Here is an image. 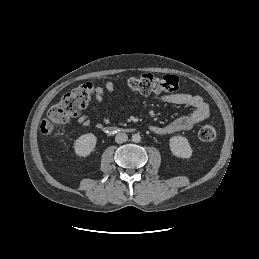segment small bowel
<instances>
[{
  "label": "small bowel",
  "mask_w": 259,
  "mask_h": 259,
  "mask_svg": "<svg viewBox=\"0 0 259 259\" xmlns=\"http://www.w3.org/2000/svg\"><path fill=\"white\" fill-rule=\"evenodd\" d=\"M105 89L108 93L114 94V83L112 81H107L105 83ZM104 96L105 93L103 89L97 88L96 104L93 107L94 111L97 109V106L102 103ZM160 99L166 103L191 107L192 111L189 114L180 116L163 126H150V130L157 135H169L181 131H188L196 124L206 120L210 115L208 104L202 97L198 95L175 93L163 95L160 97ZM77 122L80 125L87 127L90 125L91 120L87 115H80L77 118ZM108 122L109 121L107 119H103L102 121L98 122L96 126L97 128L101 129L106 124H108Z\"/></svg>",
  "instance_id": "small-bowel-1"
}]
</instances>
